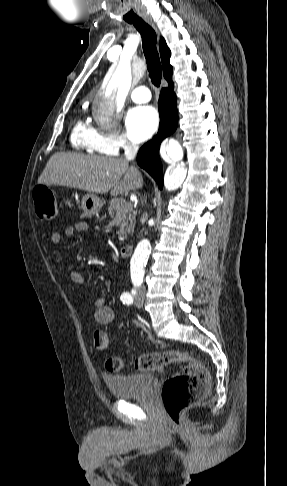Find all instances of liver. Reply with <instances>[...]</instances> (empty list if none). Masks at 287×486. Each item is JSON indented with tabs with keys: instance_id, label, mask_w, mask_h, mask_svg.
Returning a JSON list of instances; mask_svg holds the SVG:
<instances>
[{
	"instance_id": "obj_1",
	"label": "liver",
	"mask_w": 287,
	"mask_h": 486,
	"mask_svg": "<svg viewBox=\"0 0 287 486\" xmlns=\"http://www.w3.org/2000/svg\"><path fill=\"white\" fill-rule=\"evenodd\" d=\"M38 184L78 188L111 195L140 189L143 177L122 158L86 156L77 153H56L46 164Z\"/></svg>"
}]
</instances>
